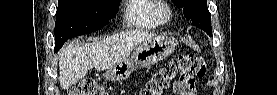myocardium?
I'll list each match as a JSON object with an SVG mask.
<instances>
[{
    "instance_id": "myocardium-1",
    "label": "myocardium",
    "mask_w": 277,
    "mask_h": 95,
    "mask_svg": "<svg viewBox=\"0 0 277 95\" xmlns=\"http://www.w3.org/2000/svg\"><path fill=\"white\" fill-rule=\"evenodd\" d=\"M159 11L163 13L160 15ZM150 16L153 21L158 24H165L168 22L172 16V9L171 7L162 0L157 1V3L152 7L150 11Z\"/></svg>"
}]
</instances>
